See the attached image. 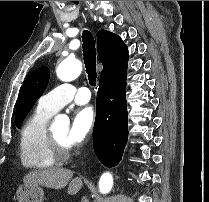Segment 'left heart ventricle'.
<instances>
[{
	"label": "left heart ventricle",
	"mask_w": 209,
	"mask_h": 202,
	"mask_svg": "<svg viewBox=\"0 0 209 202\" xmlns=\"http://www.w3.org/2000/svg\"><path fill=\"white\" fill-rule=\"evenodd\" d=\"M52 133L61 141L66 142V136L68 133V127L67 126H63V127H58L53 129Z\"/></svg>",
	"instance_id": "left-heart-ventricle-1"
}]
</instances>
